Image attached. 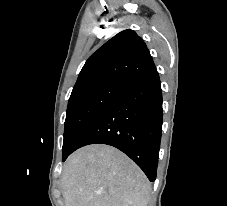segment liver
Instances as JSON below:
<instances>
[{"label": "liver", "mask_w": 227, "mask_h": 206, "mask_svg": "<svg viewBox=\"0 0 227 206\" xmlns=\"http://www.w3.org/2000/svg\"><path fill=\"white\" fill-rule=\"evenodd\" d=\"M61 188L65 206H147L151 185L121 151L94 144L68 157Z\"/></svg>", "instance_id": "6515ba94"}]
</instances>
